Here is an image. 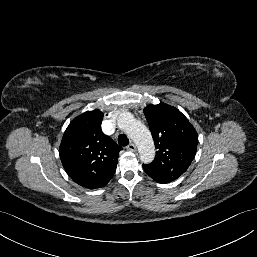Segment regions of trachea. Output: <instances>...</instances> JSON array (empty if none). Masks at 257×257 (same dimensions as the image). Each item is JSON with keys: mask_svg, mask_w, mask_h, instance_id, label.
I'll return each mask as SVG.
<instances>
[{"mask_svg": "<svg viewBox=\"0 0 257 257\" xmlns=\"http://www.w3.org/2000/svg\"><path fill=\"white\" fill-rule=\"evenodd\" d=\"M118 143L121 146H127L129 144V139H128V137L125 134H120L118 136Z\"/></svg>", "mask_w": 257, "mask_h": 257, "instance_id": "1", "label": "trachea"}]
</instances>
